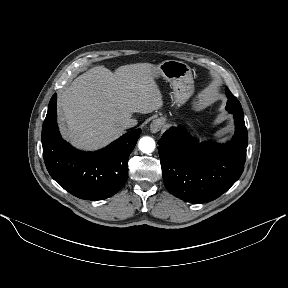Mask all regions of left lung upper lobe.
<instances>
[{"label": "left lung upper lobe", "instance_id": "obj_1", "mask_svg": "<svg viewBox=\"0 0 288 288\" xmlns=\"http://www.w3.org/2000/svg\"><path fill=\"white\" fill-rule=\"evenodd\" d=\"M226 95L228 98L226 110L228 112L237 113V114L243 116V114H244L243 109H242L241 104L238 101V99L234 95H232V93L230 92L229 89H226Z\"/></svg>", "mask_w": 288, "mask_h": 288}]
</instances>
